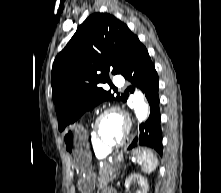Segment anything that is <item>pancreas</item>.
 I'll return each mask as SVG.
<instances>
[{
	"instance_id": "obj_1",
	"label": "pancreas",
	"mask_w": 221,
	"mask_h": 193,
	"mask_svg": "<svg viewBox=\"0 0 221 193\" xmlns=\"http://www.w3.org/2000/svg\"><path fill=\"white\" fill-rule=\"evenodd\" d=\"M114 172L115 168L109 164H105L99 169V176L97 178L99 189H104L109 182L113 181L116 177Z\"/></svg>"
}]
</instances>
